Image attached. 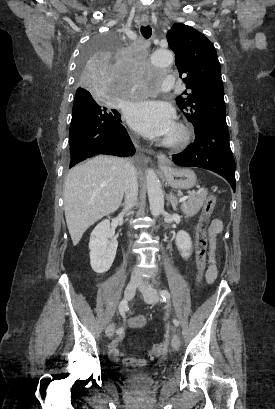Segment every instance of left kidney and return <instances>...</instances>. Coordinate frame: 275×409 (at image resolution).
Segmentation results:
<instances>
[{"label": "left kidney", "instance_id": "left-kidney-1", "mask_svg": "<svg viewBox=\"0 0 275 409\" xmlns=\"http://www.w3.org/2000/svg\"><path fill=\"white\" fill-rule=\"evenodd\" d=\"M176 245L178 251H180L181 257L183 259H188L190 253V249L192 247V241L188 235V233H185V231H179L176 235Z\"/></svg>", "mask_w": 275, "mask_h": 409}]
</instances>
